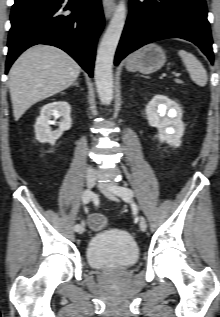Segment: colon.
<instances>
[{"label":"colon","instance_id":"colon-1","mask_svg":"<svg viewBox=\"0 0 220 317\" xmlns=\"http://www.w3.org/2000/svg\"><path fill=\"white\" fill-rule=\"evenodd\" d=\"M88 224L93 231H100L107 227V219L101 214H91Z\"/></svg>","mask_w":220,"mask_h":317}]
</instances>
